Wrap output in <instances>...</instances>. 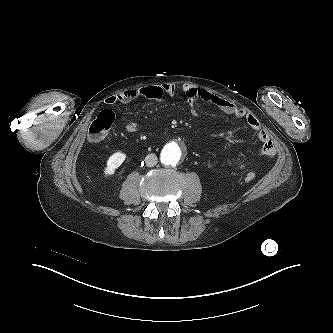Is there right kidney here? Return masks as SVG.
<instances>
[{
  "label": "right kidney",
  "mask_w": 333,
  "mask_h": 333,
  "mask_svg": "<svg viewBox=\"0 0 333 333\" xmlns=\"http://www.w3.org/2000/svg\"><path fill=\"white\" fill-rule=\"evenodd\" d=\"M126 154L122 152H116L112 154L107 160V166L104 170L106 175H113L115 170L121 166V164L125 161Z\"/></svg>",
  "instance_id": "obj_1"
}]
</instances>
